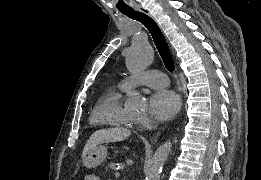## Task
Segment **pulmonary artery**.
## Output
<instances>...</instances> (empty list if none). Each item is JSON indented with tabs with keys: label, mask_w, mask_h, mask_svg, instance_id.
Instances as JSON below:
<instances>
[{
	"label": "pulmonary artery",
	"mask_w": 261,
	"mask_h": 180,
	"mask_svg": "<svg viewBox=\"0 0 261 180\" xmlns=\"http://www.w3.org/2000/svg\"><path fill=\"white\" fill-rule=\"evenodd\" d=\"M168 79L165 74L158 70H146L145 73H138L132 76L123 77L119 85L122 89H126L130 86L141 89H152V88H169ZM139 83H144L140 84Z\"/></svg>",
	"instance_id": "1"
}]
</instances>
